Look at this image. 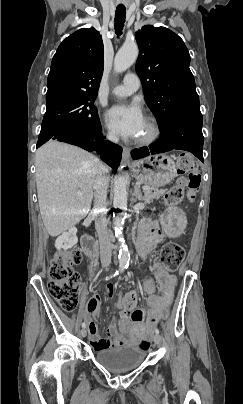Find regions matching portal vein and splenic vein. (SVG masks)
Returning <instances> with one entry per match:
<instances>
[{"mask_svg":"<svg viewBox=\"0 0 243 404\" xmlns=\"http://www.w3.org/2000/svg\"><path fill=\"white\" fill-rule=\"evenodd\" d=\"M142 190H150L149 186H143ZM78 196H81V192H77Z\"/></svg>","mask_w":243,"mask_h":404,"instance_id":"obj_1","label":"portal vein and splenic vein"}]
</instances>
